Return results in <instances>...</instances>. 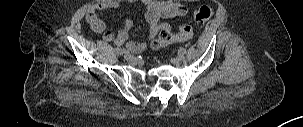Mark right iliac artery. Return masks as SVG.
Instances as JSON below:
<instances>
[{
  "instance_id": "1",
  "label": "right iliac artery",
  "mask_w": 303,
  "mask_h": 127,
  "mask_svg": "<svg viewBox=\"0 0 303 127\" xmlns=\"http://www.w3.org/2000/svg\"><path fill=\"white\" fill-rule=\"evenodd\" d=\"M115 51L117 52V54L122 55L124 53H126V50L124 48H115Z\"/></svg>"
}]
</instances>
